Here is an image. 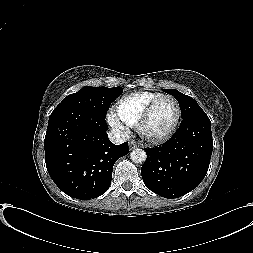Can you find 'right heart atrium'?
<instances>
[{"instance_id":"d8ad5b80","label":"right heart atrium","mask_w":253,"mask_h":253,"mask_svg":"<svg viewBox=\"0 0 253 253\" xmlns=\"http://www.w3.org/2000/svg\"><path fill=\"white\" fill-rule=\"evenodd\" d=\"M108 122L111 125L112 128H114L119 134L126 136L128 134V128L126 125H124L118 117L110 112L107 116Z\"/></svg>"}]
</instances>
